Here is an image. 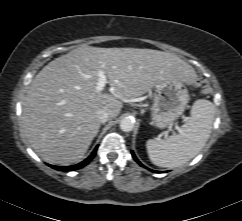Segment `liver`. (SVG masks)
<instances>
[{
    "instance_id": "6515ba94",
    "label": "liver",
    "mask_w": 242,
    "mask_h": 221,
    "mask_svg": "<svg viewBox=\"0 0 242 221\" xmlns=\"http://www.w3.org/2000/svg\"><path fill=\"white\" fill-rule=\"evenodd\" d=\"M102 70L109 93L97 92ZM194 68L173 53L138 48L82 46L49 62L31 82L23 102L25 137L48 163L70 165L87 152L101 122L114 119L124 100L139 97L161 81L193 83Z\"/></svg>"
}]
</instances>
